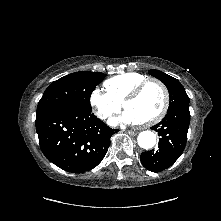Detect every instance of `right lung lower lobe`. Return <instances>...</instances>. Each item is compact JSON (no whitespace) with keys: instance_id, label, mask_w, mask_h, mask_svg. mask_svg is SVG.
Returning a JSON list of instances; mask_svg holds the SVG:
<instances>
[{"instance_id":"right-lung-lower-lobe-1","label":"right lung lower lobe","mask_w":221,"mask_h":221,"mask_svg":"<svg viewBox=\"0 0 221 221\" xmlns=\"http://www.w3.org/2000/svg\"><path fill=\"white\" fill-rule=\"evenodd\" d=\"M36 131L45 157L61 169L81 173L104 158L116 133L91 111L62 107L36 117Z\"/></svg>"}]
</instances>
